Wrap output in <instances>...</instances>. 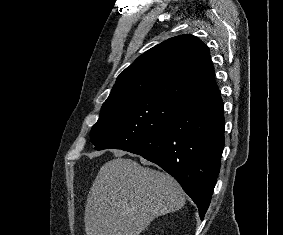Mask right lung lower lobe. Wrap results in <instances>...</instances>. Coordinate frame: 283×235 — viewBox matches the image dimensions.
<instances>
[{
  "mask_svg": "<svg viewBox=\"0 0 283 235\" xmlns=\"http://www.w3.org/2000/svg\"><path fill=\"white\" fill-rule=\"evenodd\" d=\"M224 126L223 101L217 88L190 99L168 127L124 150L141 155L172 175L203 219L220 171Z\"/></svg>",
  "mask_w": 283,
  "mask_h": 235,
  "instance_id": "98d812e1",
  "label": "right lung lower lobe"
}]
</instances>
